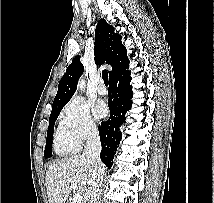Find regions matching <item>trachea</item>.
I'll list each match as a JSON object with an SVG mask.
<instances>
[{"instance_id":"obj_1","label":"trachea","mask_w":214,"mask_h":203,"mask_svg":"<svg viewBox=\"0 0 214 203\" xmlns=\"http://www.w3.org/2000/svg\"><path fill=\"white\" fill-rule=\"evenodd\" d=\"M102 78H103L105 85H108L109 81H108V72L107 71H102Z\"/></svg>"}]
</instances>
